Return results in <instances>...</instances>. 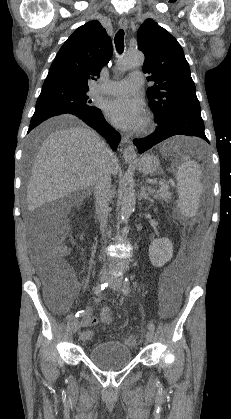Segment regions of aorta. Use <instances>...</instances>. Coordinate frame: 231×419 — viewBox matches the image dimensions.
<instances>
[{
	"mask_svg": "<svg viewBox=\"0 0 231 419\" xmlns=\"http://www.w3.org/2000/svg\"><path fill=\"white\" fill-rule=\"evenodd\" d=\"M144 55L140 51L130 52L123 56L117 63L119 71H126L134 67H139L144 63ZM136 195L132 186L125 189L121 200V218L128 219L135 206Z\"/></svg>",
	"mask_w": 231,
	"mask_h": 419,
	"instance_id": "1",
	"label": "aorta"
}]
</instances>
